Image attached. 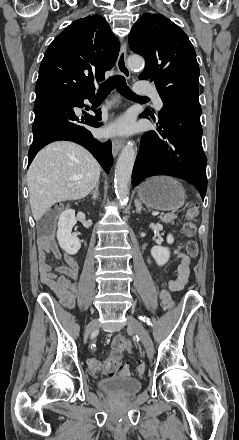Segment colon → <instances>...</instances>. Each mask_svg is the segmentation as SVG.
I'll list each match as a JSON object with an SVG mask.
<instances>
[{
    "instance_id": "colon-1",
    "label": "colon",
    "mask_w": 239,
    "mask_h": 440,
    "mask_svg": "<svg viewBox=\"0 0 239 440\" xmlns=\"http://www.w3.org/2000/svg\"><path fill=\"white\" fill-rule=\"evenodd\" d=\"M198 216V209L196 206H191L186 214V221L183 226L184 234L187 237H193L197 231L196 220ZM52 232L51 226H45L41 232V245H47L50 243V234ZM186 251L190 257H195L198 254V244L196 241L191 240L186 246ZM160 299L165 309H172L173 302L169 292L163 289L160 292ZM130 341L123 335H118L114 338L112 343V354L111 356L104 360L90 359L88 361V368L92 373L104 374V375H114L116 373H128L129 370L122 365L121 354L125 351L130 350ZM136 371L139 375L143 374L145 371V363L143 361H138L136 366Z\"/></svg>"
}]
</instances>
